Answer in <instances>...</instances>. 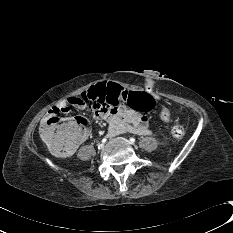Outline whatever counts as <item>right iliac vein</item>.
<instances>
[{
	"label": "right iliac vein",
	"instance_id": "right-iliac-vein-1",
	"mask_svg": "<svg viewBox=\"0 0 233 233\" xmlns=\"http://www.w3.org/2000/svg\"><path fill=\"white\" fill-rule=\"evenodd\" d=\"M104 148V144H99L98 145V149H103Z\"/></svg>",
	"mask_w": 233,
	"mask_h": 233
}]
</instances>
